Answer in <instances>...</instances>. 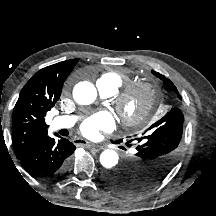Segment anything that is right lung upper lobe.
I'll use <instances>...</instances> for the list:
<instances>
[{
  "label": "right lung upper lobe",
  "instance_id": "obj_1",
  "mask_svg": "<svg viewBox=\"0 0 216 216\" xmlns=\"http://www.w3.org/2000/svg\"><path fill=\"white\" fill-rule=\"evenodd\" d=\"M78 60L62 61L39 70L21 90L12 118V143L18 159L48 136L44 117L58 101L63 83Z\"/></svg>",
  "mask_w": 216,
  "mask_h": 216
}]
</instances>
